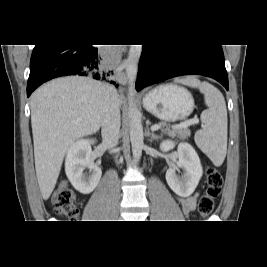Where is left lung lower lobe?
<instances>
[{
	"label": "left lung lower lobe",
	"instance_id": "left-lung-lower-lobe-1",
	"mask_svg": "<svg viewBox=\"0 0 267 267\" xmlns=\"http://www.w3.org/2000/svg\"><path fill=\"white\" fill-rule=\"evenodd\" d=\"M190 74L214 78L228 90V76L221 45H144L136 89L139 91L146 86Z\"/></svg>",
	"mask_w": 267,
	"mask_h": 267
}]
</instances>
